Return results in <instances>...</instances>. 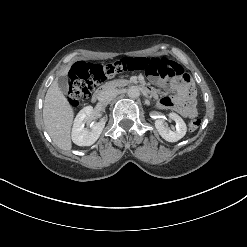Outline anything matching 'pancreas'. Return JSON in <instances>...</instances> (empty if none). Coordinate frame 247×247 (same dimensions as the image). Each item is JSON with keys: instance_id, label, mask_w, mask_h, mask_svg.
Returning a JSON list of instances; mask_svg holds the SVG:
<instances>
[{"instance_id": "1", "label": "pancreas", "mask_w": 247, "mask_h": 247, "mask_svg": "<svg viewBox=\"0 0 247 247\" xmlns=\"http://www.w3.org/2000/svg\"><path fill=\"white\" fill-rule=\"evenodd\" d=\"M128 83H129L128 80H115V81H111L109 85L112 87H120V86H125Z\"/></svg>"}]
</instances>
